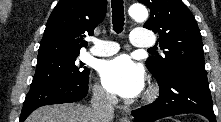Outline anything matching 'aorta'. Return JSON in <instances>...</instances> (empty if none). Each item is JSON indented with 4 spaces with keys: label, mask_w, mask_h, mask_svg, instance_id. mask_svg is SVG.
I'll return each instance as SVG.
<instances>
[{
    "label": "aorta",
    "mask_w": 221,
    "mask_h": 122,
    "mask_svg": "<svg viewBox=\"0 0 221 122\" xmlns=\"http://www.w3.org/2000/svg\"><path fill=\"white\" fill-rule=\"evenodd\" d=\"M129 15L137 22H144L148 18V11L143 4H133L130 6Z\"/></svg>",
    "instance_id": "aorta-1"
}]
</instances>
